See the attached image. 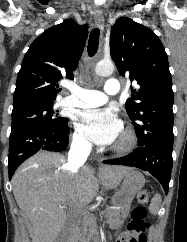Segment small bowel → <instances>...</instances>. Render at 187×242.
<instances>
[{"instance_id": "c3829d8e", "label": "small bowel", "mask_w": 187, "mask_h": 242, "mask_svg": "<svg viewBox=\"0 0 187 242\" xmlns=\"http://www.w3.org/2000/svg\"><path fill=\"white\" fill-rule=\"evenodd\" d=\"M129 236H130V232H129V231L124 232V233H122V235L120 236V238H119L118 241L122 242V240H124L125 238H127V237H129ZM118 241H117V242H118Z\"/></svg>"}]
</instances>
